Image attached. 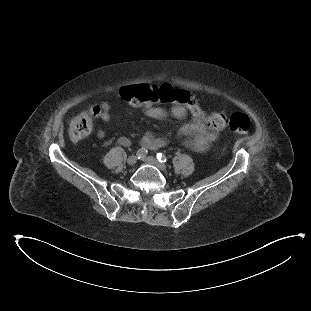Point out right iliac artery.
<instances>
[{
	"instance_id": "1",
	"label": "right iliac artery",
	"mask_w": 311,
	"mask_h": 311,
	"mask_svg": "<svg viewBox=\"0 0 311 311\" xmlns=\"http://www.w3.org/2000/svg\"><path fill=\"white\" fill-rule=\"evenodd\" d=\"M147 153H148V150H147V149H145V148H140V149L137 151L136 156H137L138 159H142V158H144V157L147 155Z\"/></svg>"
}]
</instances>
